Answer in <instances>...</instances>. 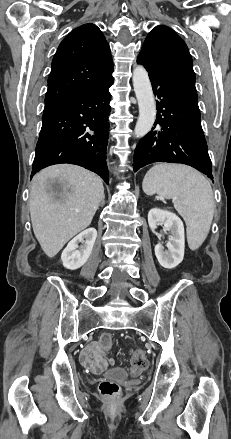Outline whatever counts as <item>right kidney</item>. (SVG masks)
<instances>
[{
	"label": "right kidney",
	"instance_id": "1",
	"mask_svg": "<svg viewBox=\"0 0 231 439\" xmlns=\"http://www.w3.org/2000/svg\"><path fill=\"white\" fill-rule=\"evenodd\" d=\"M96 238L95 228H88L74 237L62 252L63 266L69 270H76L83 266L91 255ZM79 243L82 245L79 246Z\"/></svg>",
	"mask_w": 231,
	"mask_h": 439
}]
</instances>
